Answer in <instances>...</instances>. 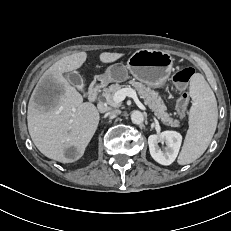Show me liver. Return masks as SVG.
Listing matches in <instances>:
<instances>
[{
  "instance_id": "1",
  "label": "liver",
  "mask_w": 231,
  "mask_h": 231,
  "mask_svg": "<svg viewBox=\"0 0 231 231\" xmlns=\"http://www.w3.org/2000/svg\"><path fill=\"white\" fill-rule=\"evenodd\" d=\"M123 56L103 52L99 59L112 63ZM86 59L87 53L82 51L55 62L40 78L28 104V130L33 143L46 157L62 163L84 154L100 119L95 105L83 102L82 95L63 76L80 68ZM69 147L75 149L72 158L64 155Z\"/></svg>"
}]
</instances>
